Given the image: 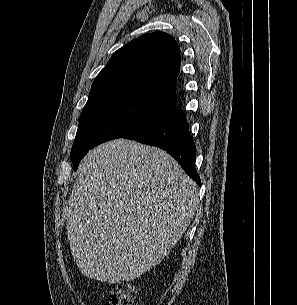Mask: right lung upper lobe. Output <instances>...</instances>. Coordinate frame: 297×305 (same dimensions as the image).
Returning <instances> with one entry per match:
<instances>
[{
	"label": "right lung upper lobe",
	"mask_w": 297,
	"mask_h": 305,
	"mask_svg": "<svg viewBox=\"0 0 297 305\" xmlns=\"http://www.w3.org/2000/svg\"><path fill=\"white\" fill-rule=\"evenodd\" d=\"M180 49L163 32L143 35L117 50L95 78L84 107L125 96L176 104Z\"/></svg>",
	"instance_id": "cb5924a9"
}]
</instances>
